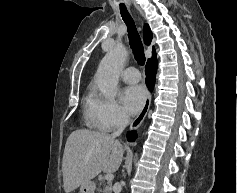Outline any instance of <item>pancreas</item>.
Returning a JSON list of instances; mask_svg holds the SVG:
<instances>
[{
	"mask_svg": "<svg viewBox=\"0 0 237 193\" xmlns=\"http://www.w3.org/2000/svg\"><path fill=\"white\" fill-rule=\"evenodd\" d=\"M100 186H103V190H100V193H111V184L107 183L104 184L103 182H100Z\"/></svg>",
	"mask_w": 237,
	"mask_h": 193,
	"instance_id": "pancreas-1",
	"label": "pancreas"
}]
</instances>
